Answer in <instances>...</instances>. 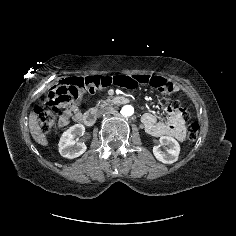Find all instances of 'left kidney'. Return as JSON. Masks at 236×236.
Here are the masks:
<instances>
[{
  "instance_id": "5707ae66",
  "label": "left kidney",
  "mask_w": 236,
  "mask_h": 236,
  "mask_svg": "<svg viewBox=\"0 0 236 236\" xmlns=\"http://www.w3.org/2000/svg\"><path fill=\"white\" fill-rule=\"evenodd\" d=\"M160 143L161 145H167L169 148H167V153H164L159 149V146H154L153 154L155 158L165 164H172L177 161L180 154L179 143L170 136H162Z\"/></svg>"
}]
</instances>
